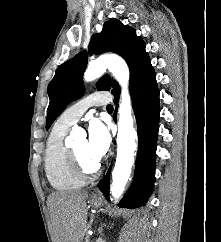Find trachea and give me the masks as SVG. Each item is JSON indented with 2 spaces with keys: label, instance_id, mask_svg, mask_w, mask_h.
Listing matches in <instances>:
<instances>
[{
  "label": "trachea",
  "instance_id": "obj_1",
  "mask_svg": "<svg viewBox=\"0 0 221 242\" xmlns=\"http://www.w3.org/2000/svg\"><path fill=\"white\" fill-rule=\"evenodd\" d=\"M106 109H107L108 111H112V110H113V106L110 105V104H108L107 107H106Z\"/></svg>",
  "mask_w": 221,
  "mask_h": 242
}]
</instances>
